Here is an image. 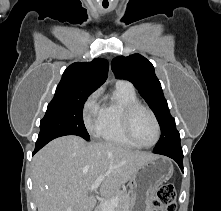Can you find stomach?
Instances as JSON below:
<instances>
[{"label":"stomach","instance_id":"obj_1","mask_svg":"<svg viewBox=\"0 0 221 211\" xmlns=\"http://www.w3.org/2000/svg\"><path fill=\"white\" fill-rule=\"evenodd\" d=\"M173 174V165L165 157L154 156L139 164L130 179V211H147V205L159 185Z\"/></svg>","mask_w":221,"mask_h":211}]
</instances>
